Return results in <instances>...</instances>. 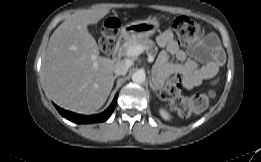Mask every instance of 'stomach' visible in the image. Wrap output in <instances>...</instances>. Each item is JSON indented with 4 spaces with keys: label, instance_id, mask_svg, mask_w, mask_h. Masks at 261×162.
Segmentation results:
<instances>
[{
    "label": "stomach",
    "instance_id": "stomach-1",
    "mask_svg": "<svg viewBox=\"0 0 261 162\" xmlns=\"http://www.w3.org/2000/svg\"><path fill=\"white\" fill-rule=\"evenodd\" d=\"M159 25L156 19L134 21L123 26L121 34L127 40L148 38L156 32Z\"/></svg>",
    "mask_w": 261,
    "mask_h": 162
}]
</instances>
